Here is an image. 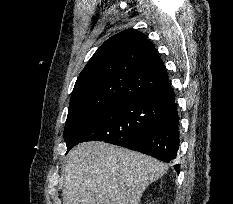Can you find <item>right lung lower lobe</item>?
Returning a JSON list of instances; mask_svg holds the SVG:
<instances>
[{"instance_id":"obj_1","label":"right lung lower lobe","mask_w":233,"mask_h":204,"mask_svg":"<svg viewBox=\"0 0 233 204\" xmlns=\"http://www.w3.org/2000/svg\"><path fill=\"white\" fill-rule=\"evenodd\" d=\"M171 87L152 97V104L161 116V122L144 133L123 137L114 145L126 147L155 157L164 162L173 161L179 148V117ZM179 172L180 165L174 166Z\"/></svg>"}]
</instances>
